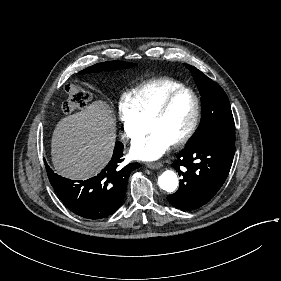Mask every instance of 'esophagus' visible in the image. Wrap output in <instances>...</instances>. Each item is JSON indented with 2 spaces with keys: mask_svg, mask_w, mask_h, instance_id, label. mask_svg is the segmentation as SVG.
<instances>
[{
  "mask_svg": "<svg viewBox=\"0 0 281 281\" xmlns=\"http://www.w3.org/2000/svg\"><path fill=\"white\" fill-rule=\"evenodd\" d=\"M147 167L150 169H159L162 167L161 163L147 164Z\"/></svg>",
  "mask_w": 281,
  "mask_h": 281,
  "instance_id": "obj_1",
  "label": "esophagus"
}]
</instances>
